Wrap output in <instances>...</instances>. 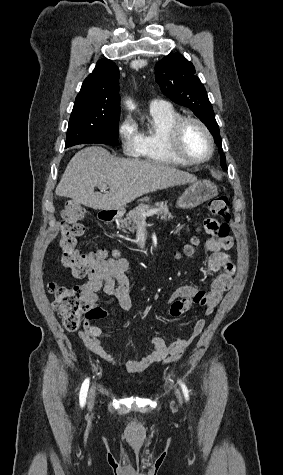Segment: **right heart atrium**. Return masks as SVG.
Segmentation results:
<instances>
[{"label":"right heart atrium","instance_id":"1","mask_svg":"<svg viewBox=\"0 0 283 475\" xmlns=\"http://www.w3.org/2000/svg\"><path fill=\"white\" fill-rule=\"evenodd\" d=\"M117 133L121 141L122 153L125 157H139L142 143L136 133L135 126L129 117L122 118L117 125Z\"/></svg>","mask_w":283,"mask_h":475}]
</instances>
